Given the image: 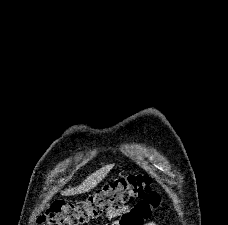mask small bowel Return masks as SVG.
Wrapping results in <instances>:
<instances>
[{
  "label": "small bowel",
  "mask_w": 228,
  "mask_h": 225,
  "mask_svg": "<svg viewBox=\"0 0 228 225\" xmlns=\"http://www.w3.org/2000/svg\"><path fill=\"white\" fill-rule=\"evenodd\" d=\"M139 203L135 204V207L127 205L119 210H110L106 214V219L110 225H142L144 218H150L149 204H145V199H140ZM119 217H121L120 220H118ZM146 225H156V222L148 221Z\"/></svg>",
  "instance_id": "1"
}]
</instances>
